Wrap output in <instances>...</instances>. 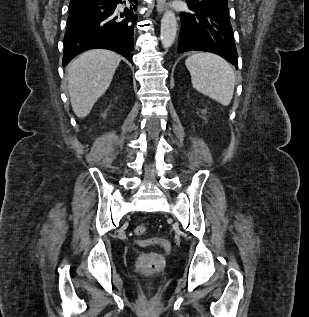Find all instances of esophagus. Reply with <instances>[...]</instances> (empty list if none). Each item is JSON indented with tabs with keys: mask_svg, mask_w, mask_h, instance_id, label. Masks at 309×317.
<instances>
[{
	"mask_svg": "<svg viewBox=\"0 0 309 317\" xmlns=\"http://www.w3.org/2000/svg\"><path fill=\"white\" fill-rule=\"evenodd\" d=\"M166 0H157V11L162 13L165 9Z\"/></svg>",
	"mask_w": 309,
	"mask_h": 317,
	"instance_id": "esophagus-1",
	"label": "esophagus"
}]
</instances>
